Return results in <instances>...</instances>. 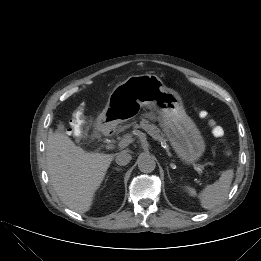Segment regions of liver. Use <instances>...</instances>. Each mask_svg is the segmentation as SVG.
Wrapping results in <instances>:
<instances>
[{"label": "liver", "mask_w": 261, "mask_h": 261, "mask_svg": "<svg viewBox=\"0 0 261 261\" xmlns=\"http://www.w3.org/2000/svg\"><path fill=\"white\" fill-rule=\"evenodd\" d=\"M113 158L111 154L87 152L64 134L48 135L46 162L50 181L61 201L76 212L91 209Z\"/></svg>", "instance_id": "liver-1"}]
</instances>
